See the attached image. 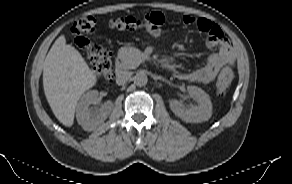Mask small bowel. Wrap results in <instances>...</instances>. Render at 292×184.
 I'll return each instance as SVG.
<instances>
[{"instance_id": "small-bowel-1", "label": "small bowel", "mask_w": 292, "mask_h": 184, "mask_svg": "<svg viewBox=\"0 0 292 184\" xmlns=\"http://www.w3.org/2000/svg\"><path fill=\"white\" fill-rule=\"evenodd\" d=\"M156 13L163 18L164 22V15L160 12ZM182 21L186 25H196L207 35L206 46L217 50L208 57L204 66L190 72L179 73L177 77L190 82L211 83L221 68L235 64L236 53L230 41L224 36L221 28L216 23L206 18H196L191 15H184ZM161 33L162 30L160 29L154 36L158 37Z\"/></svg>"}]
</instances>
